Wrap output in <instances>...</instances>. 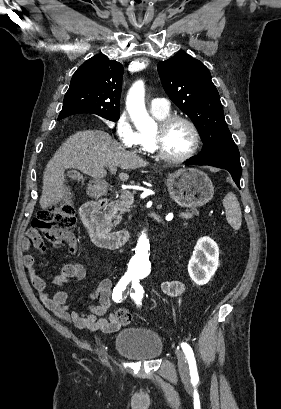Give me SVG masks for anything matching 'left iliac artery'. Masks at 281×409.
<instances>
[{"label":"left iliac artery","instance_id":"left-iliac-artery-1","mask_svg":"<svg viewBox=\"0 0 281 409\" xmlns=\"http://www.w3.org/2000/svg\"><path fill=\"white\" fill-rule=\"evenodd\" d=\"M143 293H144V290H143V287L139 284V278L134 277L132 279V290H131L130 296L137 305H141ZM181 347L189 363L191 378L198 379L196 361H195V357H194L192 348L187 343H182Z\"/></svg>","mask_w":281,"mask_h":409}]
</instances>
